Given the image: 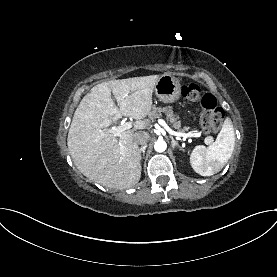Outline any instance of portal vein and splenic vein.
Returning a JSON list of instances; mask_svg holds the SVG:
<instances>
[{
	"mask_svg": "<svg viewBox=\"0 0 277 277\" xmlns=\"http://www.w3.org/2000/svg\"><path fill=\"white\" fill-rule=\"evenodd\" d=\"M158 123L164 127V129L171 135L173 136H177V137H183L184 139L188 138V137H200L201 133L197 132V133H183V132H176L174 130H172L168 124L163 120V119H158ZM133 124L132 122H122L118 127H115L113 129H111L113 135L115 137H120L121 134L126 131L129 130L130 128H132ZM213 138L212 137H207L205 138V143L206 144H210L212 143Z\"/></svg>",
	"mask_w": 277,
	"mask_h": 277,
	"instance_id": "obj_1",
	"label": "portal vein and splenic vein"
}]
</instances>
